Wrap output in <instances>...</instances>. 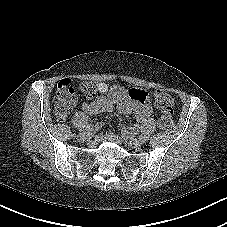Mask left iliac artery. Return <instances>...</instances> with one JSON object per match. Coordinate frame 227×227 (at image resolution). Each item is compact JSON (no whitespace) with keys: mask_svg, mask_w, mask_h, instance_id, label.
Listing matches in <instances>:
<instances>
[{"mask_svg":"<svg viewBox=\"0 0 227 227\" xmlns=\"http://www.w3.org/2000/svg\"><path fill=\"white\" fill-rule=\"evenodd\" d=\"M143 142H146L148 141L149 137L145 134H142L140 137H139Z\"/></svg>","mask_w":227,"mask_h":227,"instance_id":"1","label":"left iliac artery"}]
</instances>
